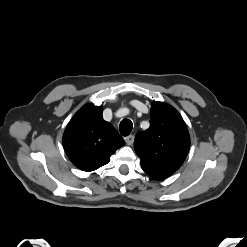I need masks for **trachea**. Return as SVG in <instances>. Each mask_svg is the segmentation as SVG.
Returning a JSON list of instances; mask_svg holds the SVG:
<instances>
[{"label": "trachea", "instance_id": "3493384b", "mask_svg": "<svg viewBox=\"0 0 247 247\" xmlns=\"http://www.w3.org/2000/svg\"><path fill=\"white\" fill-rule=\"evenodd\" d=\"M132 128H133V124L131 120L123 119L120 122L119 129H120L121 135L128 136L130 132L132 131Z\"/></svg>", "mask_w": 247, "mask_h": 247}]
</instances>
